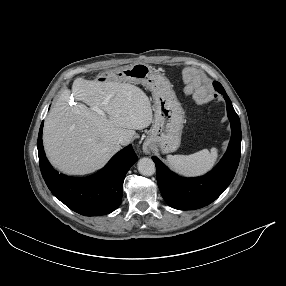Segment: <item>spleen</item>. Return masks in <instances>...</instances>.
Here are the masks:
<instances>
[{"label":"spleen","mask_w":286,"mask_h":286,"mask_svg":"<svg viewBox=\"0 0 286 286\" xmlns=\"http://www.w3.org/2000/svg\"><path fill=\"white\" fill-rule=\"evenodd\" d=\"M218 156L217 148L200 150L190 155H168L169 166L179 174L196 176L210 170Z\"/></svg>","instance_id":"1"}]
</instances>
